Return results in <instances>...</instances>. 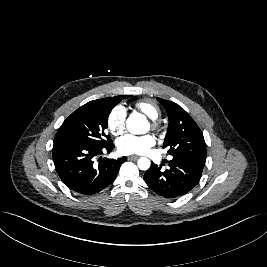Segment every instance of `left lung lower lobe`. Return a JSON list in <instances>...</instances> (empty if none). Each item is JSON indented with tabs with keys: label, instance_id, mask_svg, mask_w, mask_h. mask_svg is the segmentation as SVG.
Wrapping results in <instances>:
<instances>
[{
	"label": "left lung lower lobe",
	"instance_id": "obj_1",
	"mask_svg": "<svg viewBox=\"0 0 267 267\" xmlns=\"http://www.w3.org/2000/svg\"><path fill=\"white\" fill-rule=\"evenodd\" d=\"M169 168L151 164L144 174L147 185L158 195L177 198L188 193L199 182L205 163L184 157H173Z\"/></svg>",
	"mask_w": 267,
	"mask_h": 267
}]
</instances>
